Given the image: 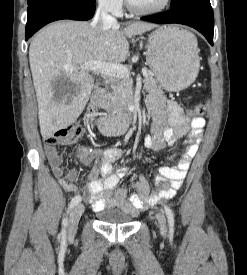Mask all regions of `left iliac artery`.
<instances>
[{
    "mask_svg": "<svg viewBox=\"0 0 247 275\" xmlns=\"http://www.w3.org/2000/svg\"><path fill=\"white\" fill-rule=\"evenodd\" d=\"M164 209H165L166 216H167V219H168L170 233H173L174 232V215H173V212L167 205H164Z\"/></svg>",
    "mask_w": 247,
    "mask_h": 275,
    "instance_id": "44dca946",
    "label": "left iliac artery"
}]
</instances>
